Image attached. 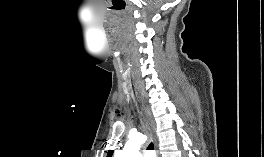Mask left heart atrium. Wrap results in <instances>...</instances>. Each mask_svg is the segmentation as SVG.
<instances>
[{"label": "left heart atrium", "instance_id": "1", "mask_svg": "<svg viewBox=\"0 0 264 157\" xmlns=\"http://www.w3.org/2000/svg\"><path fill=\"white\" fill-rule=\"evenodd\" d=\"M149 157H155L154 155H152V156H149Z\"/></svg>", "mask_w": 264, "mask_h": 157}]
</instances>
